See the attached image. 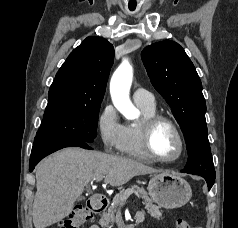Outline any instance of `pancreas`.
Listing matches in <instances>:
<instances>
[{"instance_id":"1","label":"pancreas","mask_w":238,"mask_h":228,"mask_svg":"<svg viewBox=\"0 0 238 228\" xmlns=\"http://www.w3.org/2000/svg\"><path fill=\"white\" fill-rule=\"evenodd\" d=\"M131 190L136 191L140 194V196L143 199V205L145 206V209L147 210L148 214L155 218V219H162V212L159 210V207L153 204L152 199L147 195V192L139 187L138 185L130 186ZM129 189H123L113 199L112 204L108 207L107 212H104L101 219L99 220V224L103 228H111L109 225H113L115 222V213L119 206L123 205L125 201L121 200V197L129 190Z\"/></svg>"}]
</instances>
